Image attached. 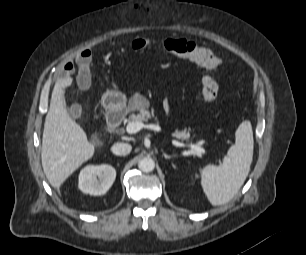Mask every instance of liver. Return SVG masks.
<instances>
[{"label": "liver", "mask_w": 306, "mask_h": 255, "mask_svg": "<svg viewBox=\"0 0 306 255\" xmlns=\"http://www.w3.org/2000/svg\"><path fill=\"white\" fill-rule=\"evenodd\" d=\"M71 83L69 75L57 80L42 137V167L49 183L56 189L95 151L84 130L66 110L63 88Z\"/></svg>", "instance_id": "obj_1"}]
</instances>
